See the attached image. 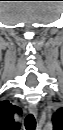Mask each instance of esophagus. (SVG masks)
<instances>
[{
  "instance_id": "esophagus-1",
  "label": "esophagus",
  "mask_w": 63,
  "mask_h": 130,
  "mask_svg": "<svg viewBox=\"0 0 63 130\" xmlns=\"http://www.w3.org/2000/svg\"><path fill=\"white\" fill-rule=\"evenodd\" d=\"M29 111H30L31 114H33L34 116H36L37 113H38L37 106L34 105V104H30L29 105Z\"/></svg>"
}]
</instances>
